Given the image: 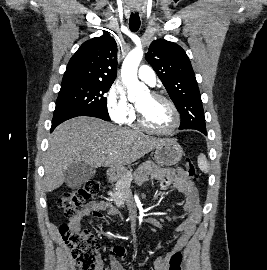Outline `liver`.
Instances as JSON below:
<instances>
[{
  "label": "liver",
  "mask_w": 267,
  "mask_h": 270,
  "mask_svg": "<svg viewBox=\"0 0 267 270\" xmlns=\"http://www.w3.org/2000/svg\"><path fill=\"white\" fill-rule=\"evenodd\" d=\"M168 139L127 130L94 117H76L60 124L49 138L44 185L52 192L65 182L73 163L91 167L124 168Z\"/></svg>",
  "instance_id": "6515ba94"
}]
</instances>
